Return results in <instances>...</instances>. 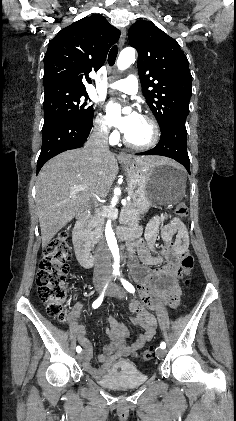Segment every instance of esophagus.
I'll list each match as a JSON object with an SVG mask.
<instances>
[{"label":"esophagus","instance_id":"obj_1","mask_svg":"<svg viewBox=\"0 0 236 421\" xmlns=\"http://www.w3.org/2000/svg\"><path fill=\"white\" fill-rule=\"evenodd\" d=\"M125 38H126V29L122 28L120 39H119V48L123 47V45L125 43ZM117 158H118V160L128 161L130 157L126 153L120 152Z\"/></svg>","mask_w":236,"mask_h":421}]
</instances>
